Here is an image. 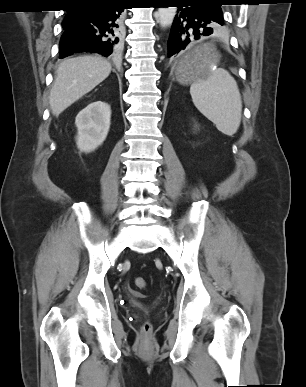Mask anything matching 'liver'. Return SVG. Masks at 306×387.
<instances>
[{
	"mask_svg": "<svg viewBox=\"0 0 306 387\" xmlns=\"http://www.w3.org/2000/svg\"><path fill=\"white\" fill-rule=\"evenodd\" d=\"M110 72L111 64L99 56L83 55L63 60L50 91L52 113L58 116L103 82Z\"/></svg>",
	"mask_w": 306,
	"mask_h": 387,
	"instance_id": "liver-1",
	"label": "liver"
}]
</instances>
